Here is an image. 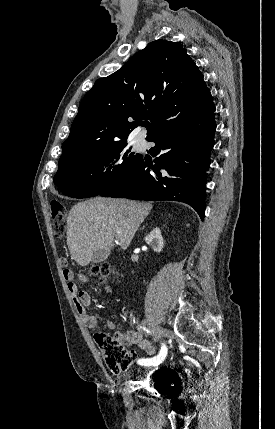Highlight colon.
<instances>
[{"instance_id": "colon-1", "label": "colon", "mask_w": 275, "mask_h": 429, "mask_svg": "<svg viewBox=\"0 0 275 429\" xmlns=\"http://www.w3.org/2000/svg\"><path fill=\"white\" fill-rule=\"evenodd\" d=\"M50 221L53 235L61 238L66 231V210L61 202H51ZM60 264L66 267L67 260L61 257ZM90 273L97 276L100 280L105 281L113 275L114 268L109 263H102L92 267ZM94 338L101 351L103 360L111 372L119 373L131 365L133 355L125 348L124 342L120 337L97 333Z\"/></svg>"}]
</instances>
